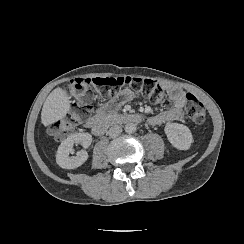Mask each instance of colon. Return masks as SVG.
<instances>
[{"label":"colon","instance_id":"1","mask_svg":"<svg viewBox=\"0 0 244 244\" xmlns=\"http://www.w3.org/2000/svg\"><path fill=\"white\" fill-rule=\"evenodd\" d=\"M94 87L97 88V91H93ZM123 87H132L137 93L149 96L157 102H166L163 89L150 79L118 76L98 77L91 80L82 76L65 83L63 88L65 96L80 101L75 103L73 112L47 128L48 134L56 138H66L72 135L76 130L77 122L82 123L88 119L87 107L89 105H92L97 99L108 100L116 97ZM185 112L186 117L194 123L202 124L206 119L202 103L192 94L187 96Z\"/></svg>","mask_w":244,"mask_h":244}]
</instances>
